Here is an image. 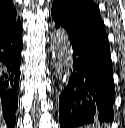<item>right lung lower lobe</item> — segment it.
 <instances>
[{"instance_id":"obj_1","label":"right lung lower lobe","mask_w":125,"mask_h":128,"mask_svg":"<svg viewBox=\"0 0 125 128\" xmlns=\"http://www.w3.org/2000/svg\"><path fill=\"white\" fill-rule=\"evenodd\" d=\"M22 47L21 23L0 33V104L8 128L15 126Z\"/></svg>"}]
</instances>
